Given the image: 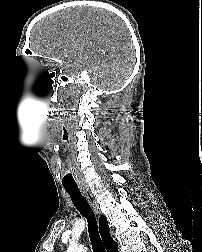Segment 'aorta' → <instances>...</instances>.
<instances>
[{
    "mask_svg": "<svg viewBox=\"0 0 202 252\" xmlns=\"http://www.w3.org/2000/svg\"><path fill=\"white\" fill-rule=\"evenodd\" d=\"M66 252H85V249L83 246H80L78 244H71L69 245Z\"/></svg>",
    "mask_w": 202,
    "mask_h": 252,
    "instance_id": "762f6f07",
    "label": "aorta"
}]
</instances>
